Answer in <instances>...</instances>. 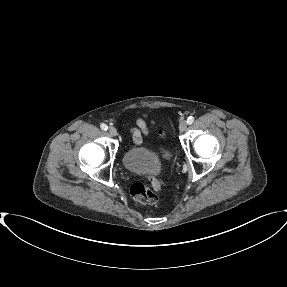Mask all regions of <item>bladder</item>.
I'll use <instances>...</instances> for the list:
<instances>
[{
	"instance_id": "31cf9c89",
	"label": "bladder",
	"mask_w": 287,
	"mask_h": 287,
	"mask_svg": "<svg viewBox=\"0 0 287 287\" xmlns=\"http://www.w3.org/2000/svg\"><path fill=\"white\" fill-rule=\"evenodd\" d=\"M122 164L126 170L134 174L158 172L160 162L156 154L149 148L134 146L127 149L122 156Z\"/></svg>"
}]
</instances>
